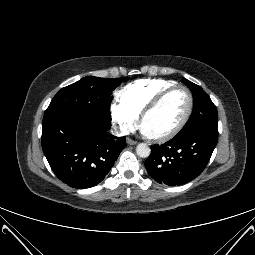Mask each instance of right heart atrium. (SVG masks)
I'll return each instance as SVG.
<instances>
[{
	"label": "right heart atrium",
	"instance_id": "d8ad5b80",
	"mask_svg": "<svg viewBox=\"0 0 255 255\" xmlns=\"http://www.w3.org/2000/svg\"><path fill=\"white\" fill-rule=\"evenodd\" d=\"M110 114L114 125L124 135L133 131L139 121V114L122 99L114 100L111 103Z\"/></svg>",
	"mask_w": 255,
	"mask_h": 255
}]
</instances>
